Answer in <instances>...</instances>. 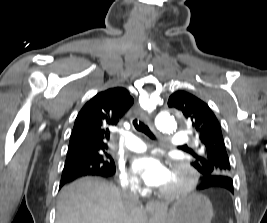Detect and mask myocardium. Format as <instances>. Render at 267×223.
Masks as SVG:
<instances>
[{"label": "myocardium", "instance_id": "1", "mask_svg": "<svg viewBox=\"0 0 267 223\" xmlns=\"http://www.w3.org/2000/svg\"><path fill=\"white\" fill-rule=\"evenodd\" d=\"M174 176H183L184 183L170 189H163L162 194L168 198H176L193 192L198 184L197 171L186 162L179 161L173 170Z\"/></svg>", "mask_w": 267, "mask_h": 223}]
</instances>
